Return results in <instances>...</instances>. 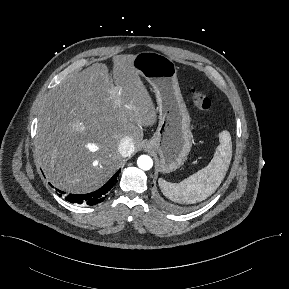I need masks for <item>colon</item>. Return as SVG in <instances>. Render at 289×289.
<instances>
[{
  "label": "colon",
  "instance_id": "obj_1",
  "mask_svg": "<svg viewBox=\"0 0 289 289\" xmlns=\"http://www.w3.org/2000/svg\"><path fill=\"white\" fill-rule=\"evenodd\" d=\"M192 98L193 103L199 113L204 115L210 113L211 101L202 91L194 89L192 91Z\"/></svg>",
  "mask_w": 289,
  "mask_h": 289
}]
</instances>
